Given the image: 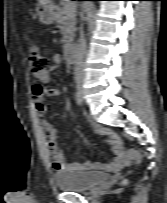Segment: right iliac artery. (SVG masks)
<instances>
[{
	"label": "right iliac artery",
	"instance_id": "82829eb1",
	"mask_svg": "<svg viewBox=\"0 0 167 203\" xmlns=\"http://www.w3.org/2000/svg\"><path fill=\"white\" fill-rule=\"evenodd\" d=\"M75 100L78 105H83V99L79 92L75 93Z\"/></svg>",
	"mask_w": 167,
	"mask_h": 203
}]
</instances>
